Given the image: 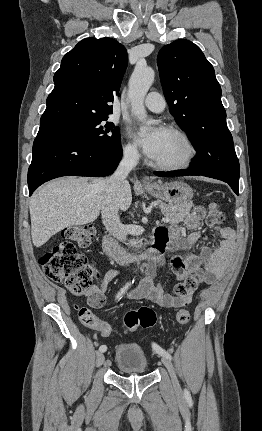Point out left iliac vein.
Masks as SVG:
<instances>
[{
	"label": "left iliac vein",
	"instance_id": "1",
	"mask_svg": "<svg viewBox=\"0 0 262 431\" xmlns=\"http://www.w3.org/2000/svg\"><path fill=\"white\" fill-rule=\"evenodd\" d=\"M162 362H163V364L165 365V367L167 368V370L169 372V375L171 377L173 386L176 389H178L179 388V383H178V379H177V376H176V373H175V370H174V367H173V364H172L171 360L168 357L164 356V357H162Z\"/></svg>",
	"mask_w": 262,
	"mask_h": 431
}]
</instances>
